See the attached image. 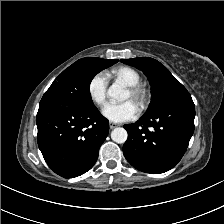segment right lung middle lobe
Returning <instances> with one entry per match:
<instances>
[{
	"mask_svg": "<svg viewBox=\"0 0 224 224\" xmlns=\"http://www.w3.org/2000/svg\"><path fill=\"white\" fill-rule=\"evenodd\" d=\"M117 62L118 60L96 57L79 59L54 80L45 94H54L77 103L94 105L89 90L92 79L97 73Z\"/></svg>",
	"mask_w": 224,
	"mask_h": 224,
	"instance_id": "dd1d6c3e",
	"label": "right lung middle lobe"
}]
</instances>
